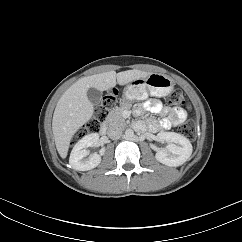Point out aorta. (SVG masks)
Listing matches in <instances>:
<instances>
[{
    "mask_svg": "<svg viewBox=\"0 0 242 242\" xmlns=\"http://www.w3.org/2000/svg\"><path fill=\"white\" fill-rule=\"evenodd\" d=\"M125 137L127 139H132L134 137V131L132 129H127L125 131Z\"/></svg>",
    "mask_w": 242,
    "mask_h": 242,
    "instance_id": "762f6f07",
    "label": "aorta"
}]
</instances>
